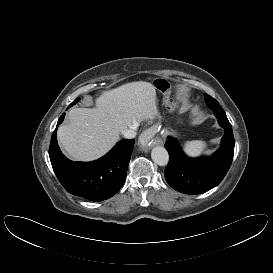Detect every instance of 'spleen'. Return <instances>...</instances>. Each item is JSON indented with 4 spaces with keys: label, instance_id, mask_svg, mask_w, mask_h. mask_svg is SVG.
Masks as SVG:
<instances>
[{
    "label": "spleen",
    "instance_id": "1",
    "mask_svg": "<svg viewBox=\"0 0 273 273\" xmlns=\"http://www.w3.org/2000/svg\"><path fill=\"white\" fill-rule=\"evenodd\" d=\"M206 147V142L200 140H192L185 143L184 150L189 156L197 157L206 149Z\"/></svg>",
    "mask_w": 273,
    "mask_h": 273
}]
</instances>
